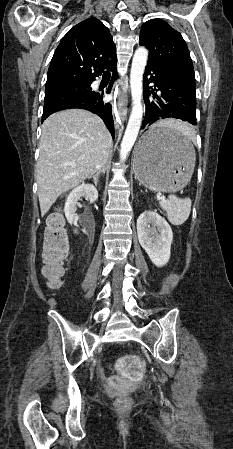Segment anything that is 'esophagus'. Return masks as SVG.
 I'll list each match as a JSON object with an SVG mask.
<instances>
[{
    "instance_id": "esophagus-1",
    "label": "esophagus",
    "mask_w": 233,
    "mask_h": 449,
    "mask_svg": "<svg viewBox=\"0 0 233 449\" xmlns=\"http://www.w3.org/2000/svg\"><path fill=\"white\" fill-rule=\"evenodd\" d=\"M118 112L121 117L125 114V90L124 89L119 91Z\"/></svg>"
}]
</instances>
